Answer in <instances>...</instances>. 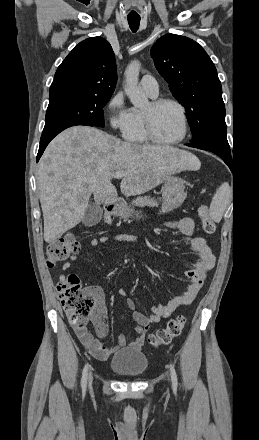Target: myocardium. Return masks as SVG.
<instances>
[{"instance_id": "myocardium-1", "label": "myocardium", "mask_w": 259, "mask_h": 440, "mask_svg": "<svg viewBox=\"0 0 259 440\" xmlns=\"http://www.w3.org/2000/svg\"><path fill=\"white\" fill-rule=\"evenodd\" d=\"M165 104H172L178 108L180 115H181V118H182V124H183V131H182L181 136L179 138H177L175 140H171V141H166V140H162L161 138H159L155 132L154 124H153L152 112ZM150 105H151V110L148 112L143 111V113H142L144 129H145V133H146L148 139L150 141H152L153 143H156L159 145H164V146L176 145V144H179L182 141H184L188 135V132H189V122H188L187 112H186L184 105L181 102H179L178 100L173 99V98H157V99H154L150 103Z\"/></svg>"}]
</instances>
